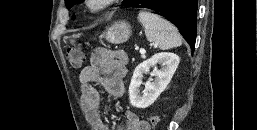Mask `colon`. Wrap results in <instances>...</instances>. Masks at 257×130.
<instances>
[{
  "label": "colon",
  "instance_id": "1",
  "mask_svg": "<svg viewBox=\"0 0 257 130\" xmlns=\"http://www.w3.org/2000/svg\"><path fill=\"white\" fill-rule=\"evenodd\" d=\"M70 65L75 69H80L85 61L84 51L80 47L71 48L67 53ZM151 130H156L160 122V116L157 114L149 118Z\"/></svg>",
  "mask_w": 257,
  "mask_h": 130
}]
</instances>
